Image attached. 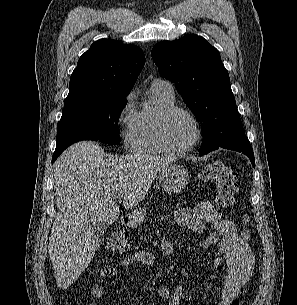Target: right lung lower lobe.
I'll use <instances>...</instances> for the list:
<instances>
[{"mask_svg":"<svg viewBox=\"0 0 297 305\" xmlns=\"http://www.w3.org/2000/svg\"><path fill=\"white\" fill-rule=\"evenodd\" d=\"M65 149H55V152L52 157V163L58 158V156L64 151Z\"/></svg>","mask_w":297,"mask_h":305,"instance_id":"1","label":"right lung lower lobe"}]
</instances>
